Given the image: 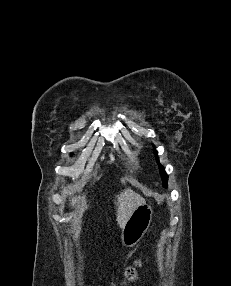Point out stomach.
<instances>
[{
	"instance_id": "0dacf381",
	"label": "stomach",
	"mask_w": 231,
	"mask_h": 286,
	"mask_svg": "<svg viewBox=\"0 0 231 286\" xmlns=\"http://www.w3.org/2000/svg\"><path fill=\"white\" fill-rule=\"evenodd\" d=\"M153 210L150 205L138 206L122 228L121 243L125 247H133L144 236L152 221Z\"/></svg>"
}]
</instances>
